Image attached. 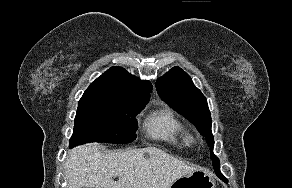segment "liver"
<instances>
[{
	"label": "liver",
	"mask_w": 292,
	"mask_h": 188,
	"mask_svg": "<svg viewBox=\"0 0 292 188\" xmlns=\"http://www.w3.org/2000/svg\"><path fill=\"white\" fill-rule=\"evenodd\" d=\"M195 170L157 147L104 153L87 144L68 154L64 174L67 188H169Z\"/></svg>",
	"instance_id": "obj_1"
}]
</instances>
